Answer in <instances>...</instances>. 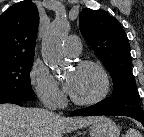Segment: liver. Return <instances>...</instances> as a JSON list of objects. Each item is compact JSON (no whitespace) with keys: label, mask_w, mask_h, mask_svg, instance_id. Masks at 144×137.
<instances>
[{"label":"liver","mask_w":144,"mask_h":137,"mask_svg":"<svg viewBox=\"0 0 144 137\" xmlns=\"http://www.w3.org/2000/svg\"><path fill=\"white\" fill-rule=\"evenodd\" d=\"M100 117H64L45 109L0 104V137H62Z\"/></svg>","instance_id":"obj_1"}]
</instances>
